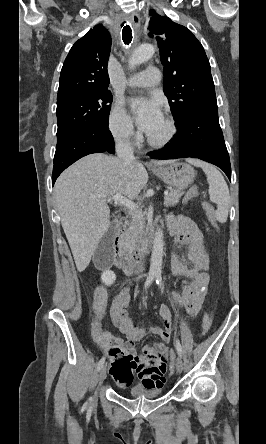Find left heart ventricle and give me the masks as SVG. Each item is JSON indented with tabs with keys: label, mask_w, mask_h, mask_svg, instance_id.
Masks as SVG:
<instances>
[{
	"label": "left heart ventricle",
	"mask_w": 266,
	"mask_h": 444,
	"mask_svg": "<svg viewBox=\"0 0 266 444\" xmlns=\"http://www.w3.org/2000/svg\"><path fill=\"white\" fill-rule=\"evenodd\" d=\"M167 132L168 125L166 120L163 118L162 121L148 135L155 140H160L166 136Z\"/></svg>",
	"instance_id": "obj_1"
}]
</instances>
